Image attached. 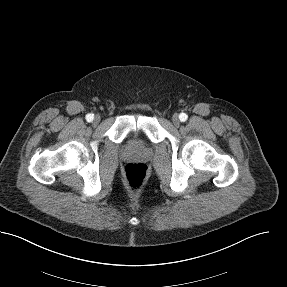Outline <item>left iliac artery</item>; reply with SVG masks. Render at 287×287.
Returning a JSON list of instances; mask_svg holds the SVG:
<instances>
[{
  "label": "left iliac artery",
  "instance_id": "1",
  "mask_svg": "<svg viewBox=\"0 0 287 287\" xmlns=\"http://www.w3.org/2000/svg\"><path fill=\"white\" fill-rule=\"evenodd\" d=\"M179 118H180V120H181L182 122H184V121L187 120L188 116H187V114H185V113H181V114L179 115Z\"/></svg>",
  "mask_w": 287,
  "mask_h": 287
}]
</instances>
